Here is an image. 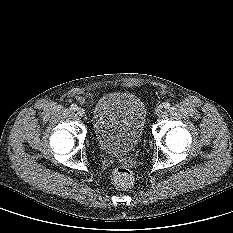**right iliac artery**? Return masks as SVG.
<instances>
[{
	"mask_svg": "<svg viewBox=\"0 0 233 233\" xmlns=\"http://www.w3.org/2000/svg\"><path fill=\"white\" fill-rule=\"evenodd\" d=\"M77 109H78V107L75 104H72L71 107H70L71 111H76Z\"/></svg>",
	"mask_w": 233,
	"mask_h": 233,
	"instance_id": "82829eb1",
	"label": "right iliac artery"
}]
</instances>
